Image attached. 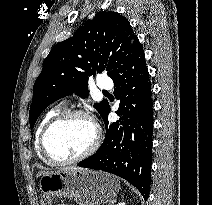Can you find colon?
Listing matches in <instances>:
<instances>
[{
  "mask_svg": "<svg viewBox=\"0 0 212 205\" xmlns=\"http://www.w3.org/2000/svg\"><path fill=\"white\" fill-rule=\"evenodd\" d=\"M41 205H53L51 197L48 195H43L41 198Z\"/></svg>",
  "mask_w": 212,
  "mask_h": 205,
  "instance_id": "5ec220e1",
  "label": "colon"
}]
</instances>
